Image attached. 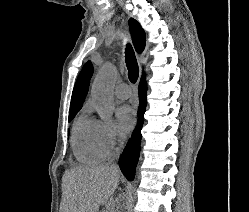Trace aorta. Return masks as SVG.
<instances>
[{"instance_id": "1", "label": "aorta", "mask_w": 249, "mask_h": 212, "mask_svg": "<svg viewBox=\"0 0 249 212\" xmlns=\"http://www.w3.org/2000/svg\"><path fill=\"white\" fill-rule=\"evenodd\" d=\"M117 77L116 67L111 63H105L98 71L91 87L92 100L103 120L110 119L115 109L113 88Z\"/></svg>"}]
</instances>
